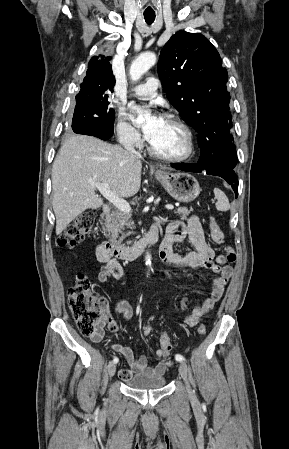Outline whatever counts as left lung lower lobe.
Here are the masks:
<instances>
[{"label":"left lung lower lobe","mask_w":289,"mask_h":449,"mask_svg":"<svg viewBox=\"0 0 289 449\" xmlns=\"http://www.w3.org/2000/svg\"><path fill=\"white\" fill-rule=\"evenodd\" d=\"M172 168H175L177 170L182 171H188V172H196L199 173L203 170L207 172V174L220 176L223 179H225L233 188L236 197L238 196V180H237V174L235 172V169H230L225 172H219L216 170V168L208 163L207 161H198V163L194 164H188V163H178L171 165Z\"/></svg>","instance_id":"0a47b994"}]
</instances>
